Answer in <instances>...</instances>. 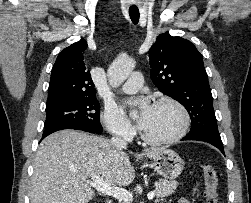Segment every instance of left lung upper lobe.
Returning <instances> with one entry per match:
<instances>
[{"mask_svg":"<svg viewBox=\"0 0 251 203\" xmlns=\"http://www.w3.org/2000/svg\"><path fill=\"white\" fill-rule=\"evenodd\" d=\"M149 58L155 86L189 112L192 124L188 134H219L203 57L194 44L160 34L149 50Z\"/></svg>","mask_w":251,"mask_h":203,"instance_id":"left-lung-upper-lobe-1","label":"left lung upper lobe"}]
</instances>
